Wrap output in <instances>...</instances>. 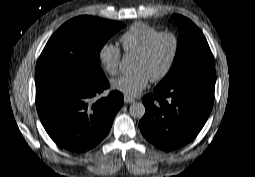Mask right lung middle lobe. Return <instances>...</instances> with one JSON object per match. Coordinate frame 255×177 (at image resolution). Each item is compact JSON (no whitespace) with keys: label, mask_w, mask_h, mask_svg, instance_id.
I'll use <instances>...</instances> for the list:
<instances>
[{"label":"right lung middle lobe","mask_w":255,"mask_h":177,"mask_svg":"<svg viewBox=\"0 0 255 177\" xmlns=\"http://www.w3.org/2000/svg\"><path fill=\"white\" fill-rule=\"evenodd\" d=\"M124 25L91 16H80L63 24L49 39L35 70V79L48 75L96 78L104 75L100 51Z\"/></svg>","instance_id":"dd1d6c3e"}]
</instances>
